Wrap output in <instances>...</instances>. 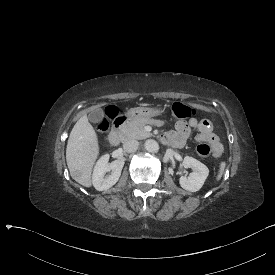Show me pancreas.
<instances>
[{
  "instance_id": "pancreas-1",
  "label": "pancreas",
  "mask_w": 275,
  "mask_h": 275,
  "mask_svg": "<svg viewBox=\"0 0 275 275\" xmlns=\"http://www.w3.org/2000/svg\"><path fill=\"white\" fill-rule=\"evenodd\" d=\"M165 124V121L158 119H139L129 120L119 130V135L123 141L129 139L143 140L151 137L152 134L145 131L147 125L161 127Z\"/></svg>"
}]
</instances>
